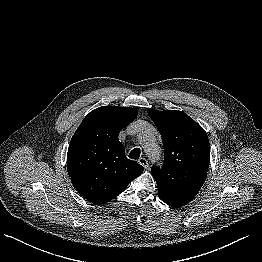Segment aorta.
I'll return each instance as SVG.
<instances>
[{
	"mask_svg": "<svg viewBox=\"0 0 262 262\" xmlns=\"http://www.w3.org/2000/svg\"><path fill=\"white\" fill-rule=\"evenodd\" d=\"M146 137H149V134L148 135L147 134H143V135L140 136L141 140H142V138H143V140H144V138L147 140ZM144 144H145L144 145L145 146V151H146V154H147L148 158L151 161H153V162L157 161L159 159L158 148L156 146H154V145L149 144L148 142H144Z\"/></svg>",
	"mask_w": 262,
	"mask_h": 262,
	"instance_id": "1",
	"label": "aorta"
}]
</instances>
